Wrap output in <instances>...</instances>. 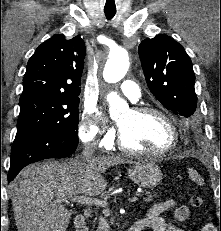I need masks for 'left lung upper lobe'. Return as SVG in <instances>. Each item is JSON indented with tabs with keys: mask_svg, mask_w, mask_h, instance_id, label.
<instances>
[{
	"mask_svg": "<svg viewBox=\"0 0 221 231\" xmlns=\"http://www.w3.org/2000/svg\"><path fill=\"white\" fill-rule=\"evenodd\" d=\"M138 51L152 94L172 113L186 118L193 115L197 106L195 75L182 45L159 34L143 40Z\"/></svg>",
	"mask_w": 221,
	"mask_h": 231,
	"instance_id": "left-lung-upper-lobe-1",
	"label": "left lung upper lobe"
}]
</instances>
